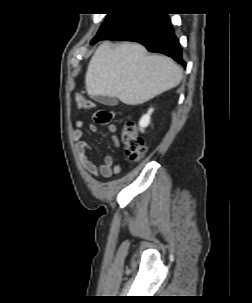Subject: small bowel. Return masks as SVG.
<instances>
[{
  "instance_id": "1",
  "label": "small bowel",
  "mask_w": 252,
  "mask_h": 303,
  "mask_svg": "<svg viewBox=\"0 0 252 303\" xmlns=\"http://www.w3.org/2000/svg\"><path fill=\"white\" fill-rule=\"evenodd\" d=\"M86 125L84 120H78L75 123L76 129L72 133V139L76 142V152L83 168L93 176L110 177L117 175L121 172V165L113 160L111 156L104 157L103 163L97 165L91 159L88 158V154L91 152L90 145L83 139L84 132L82 128ZM89 129L93 132L97 130L95 124H90ZM107 129L113 134L112 139L116 146H119V141L115 133L117 132V126L115 124H109Z\"/></svg>"
}]
</instances>
